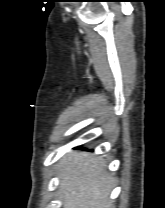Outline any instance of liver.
Here are the masks:
<instances>
[{
	"label": "liver",
	"mask_w": 165,
	"mask_h": 208,
	"mask_svg": "<svg viewBox=\"0 0 165 208\" xmlns=\"http://www.w3.org/2000/svg\"><path fill=\"white\" fill-rule=\"evenodd\" d=\"M63 208H113L109 194L114 179L101 157L70 152L58 167Z\"/></svg>",
	"instance_id": "obj_1"
}]
</instances>
